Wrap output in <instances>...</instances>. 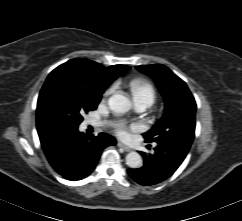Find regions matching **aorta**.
<instances>
[{
    "label": "aorta",
    "mask_w": 242,
    "mask_h": 221,
    "mask_svg": "<svg viewBox=\"0 0 242 221\" xmlns=\"http://www.w3.org/2000/svg\"><path fill=\"white\" fill-rule=\"evenodd\" d=\"M110 109L116 113H126L131 109V102L128 97L122 94H114L108 100ZM142 157L139 153L133 151L126 155V164L133 169L142 166Z\"/></svg>",
    "instance_id": "obj_1"
}]
</instances>
